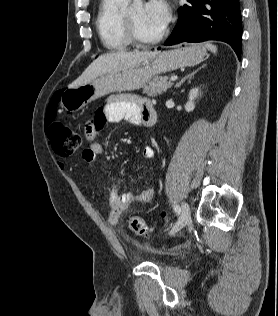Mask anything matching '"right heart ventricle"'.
<instances>
[{
	"label": "right heart ventricle",
	"instance_id": "1",
	"mask_svg": "<svg viewBox=\"0 0 278 316\" xmlns=\"http://www.w3.org/2000/svg\"><path fill=\"white\" fill-rule=\"evenodd\" d=\"M128 0H101L96 16V28L101 43L112 51L130 45L124 25L123 6Z\"/></svg>",
	"mask_w": 278,
	"mask_h": 316
}]
</instances>
